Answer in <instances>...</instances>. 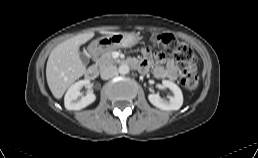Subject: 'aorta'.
<instances>
[{"instance_id":"obj_1","label":"aorta","mask_w":258,"mask_h":158,"mask_svg":"<svg viewBox=\"0 0 258 158\" xmlns=\"http://www.w3.org/2000/svg\"><path fill=\"white\" fill-rule=\"evenodd\" d=\"M129 66L128 65H126V64H122V65H120L119 66V68H118V72L120 73V74H127V73H129Z\"/></svg>"}]
</instances>
